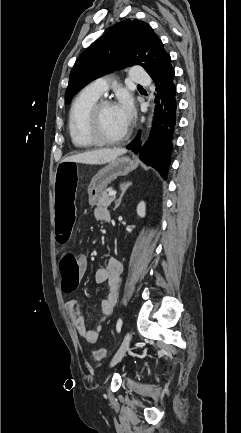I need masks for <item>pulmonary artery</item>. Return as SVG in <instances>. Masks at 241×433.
I'll use <instances>...</instances> for the list:
<instances>
[{
	"label": "pulmonary artery",
	"instance_id": "pulmonary-artery-1",
	"mask_svg": "<svg viewBox=\"0 0 241 433\" xmlns=\"http://www.w3.org/2000/svg\"><path fill=\"white\" fill-rule=\"evenodd\" d=\"M129 80L136 84H148L149 77L141 67H132L129 72ZM109 86V79L98 78L87 85V89L97 96H101L107 91Z\"/></svg>",
	"mask_w": 241,
	"mask_h": 433
}]
</instances>
